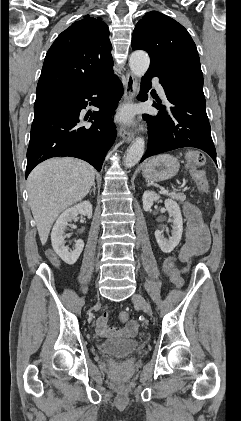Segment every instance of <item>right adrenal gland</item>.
I'll use <instances>...</instances> for the list:
<instances>
[{
  "instance_id": "2a0ac1e0",
  "label": "right adrenal gland",
  "mask_w": 241,
  "mask_h": 421,
  "mask_svg": "<svg viewBox=\"0 0 241 421\" xmlns=\"http://www.w3.org/2000/svg\"><path fill=\"white\" fill-rule=\"evenodd\" d=\"M95 191H96V187H95V182H94L93 188L89 191V194L91 195V193L93 192V194L95 195Z\"/></svg>"
}]
</instances>
